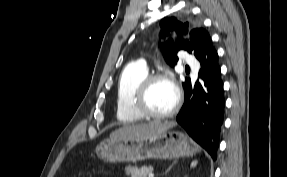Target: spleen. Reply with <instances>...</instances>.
<instances>
[{"label": "spleen", "mask_w": 287, "mask_h": 177, "mask_svg": "<svg viewBox=\"0 0 287 177\" xmlns=\"http://www.w3.org/2000/svg\"><path fill=\"white\" fill-rule=\"evenodd\" d=\"M196 164H197V161H193V162L191 163V167H195Z\"/></svg>", "instance_id": "obj_1"}]
</instances>
